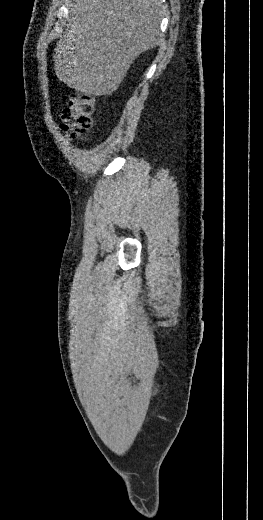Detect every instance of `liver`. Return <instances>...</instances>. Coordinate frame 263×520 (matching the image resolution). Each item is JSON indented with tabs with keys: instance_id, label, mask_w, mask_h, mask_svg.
<instances>
[{
	"instance_id": "obj_1",
	"label": "liver",
	"mask_w": 263,
	"mask_h": 520,
	"mask_svg": "<svg viewBox=\"0 0 263 520\" xmlns=\"http://www.w3.org/2000/svg\"><path fill=\"white\" fill-rule=\"evenodd\" d=\"M67 32L54 49L55 74L88 95L117 89L133 61L160 42L161 0H68Z\"/></svg>"
}]
</instances>
